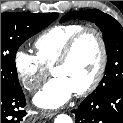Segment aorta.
<instances>
[{
	"label": "aorta",
	"mask_w": 123,
	"mask_h": 123,
	"mask_svg": "<svg viewBox=\"0 0 123 123\" xmlns=\"http://www.w3.org/2000/svg\"><path fill=\"white\" fill-rule=\"evenodd\" d=\"M54 123H73L70 116L66 114H60L55 118Z\"/></svg>",
	"instance_id": "aorta-1"
}]
</instances>
